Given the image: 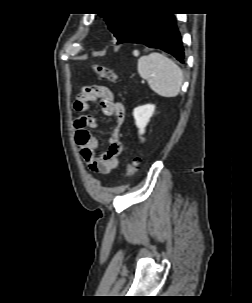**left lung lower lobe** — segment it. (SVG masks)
Here are the masks:
<instances>
[{
    "mask_svg": "<svg viewBox=\"0 0 252 303\" xmlns=\"http://www.w3.org/2000/svg\"><path fill=\"white\" fill-rule=\"evenodd\" d=\"M132 42L161 49L184 63L181 37L173 14L146 13L139 23L118 44Z\"/></svg>",
    "mask_w": 252,
    "mask_h": 303,
    "instance_id": "1",
    "label": "left lung lower lobe"
}]
</instances>
